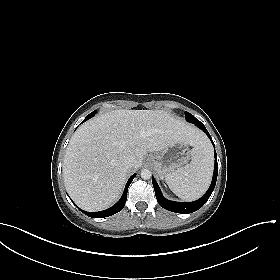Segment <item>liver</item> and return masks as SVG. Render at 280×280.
Wrapping results in <instances>:
<instances>
[{
	"mask_svg": "<svg viewBox=\"0 0 280 280\" xmlns=\"http://www.w3.org/2000/svg\"><path fill=\"white\" fill-rule=\"evenodd\" d=\"M175 142L205 143L203 134L163 110L118 109L99 115L72 136L63 160V179L73 201L86 211L108 208L119 198L131 170L148 152H159ZM135 161L126 168L123 159Z\"/></svg>",
	"mask_w": 280,
	"mask_h": 280,
	"instance_id": "obj_1",
	"label": "liver"
}]
</instances>
